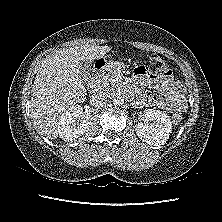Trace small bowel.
Here are the masks:
<instances>
[{
    "mask_svg": "<svg viewBox=\"0 0 222 222\" xmlns=\"http://www.w3.org/2000/svg\"><path fill=\"white\" fill-rule=\"evenodd\" d=\"M135 80L134 87L136 89H139V81L141 80L156 87H160L161 93L155 94L149 98L148 102L151 105L170 112L181 111L185 108L186 104L183 96V88L180 84L173 81L170 70L166 69L160 74H152L150 72L139 74L135 72ZM143 101V95L139 94L137 102L141 104Z\"/></svg>",
    "mask_w": 222,
    "mask_h": 222,
    "instance_id": "1",
    "label": "small bowel"
}]
</instances>
